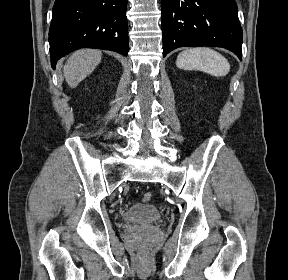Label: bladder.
I'll list each match as a JSON object with an SVG mask.
<instances>
[{"mask_svg": "<svg viewBox=\"0 0 288 280\" xmlns=\"http://www.w3.org/2000/svg\"><path fill=\"white\" fill-rule=\"evenodd\" d=\"M161 213L157 207L149 204L135 203L123 213V219L131 224L148 227L157 223Z\"/></svg>", "mask_w": 288, "mask_h": 280, "instance_id": "bladder-1", "label": "bladder"}]
</instances>
